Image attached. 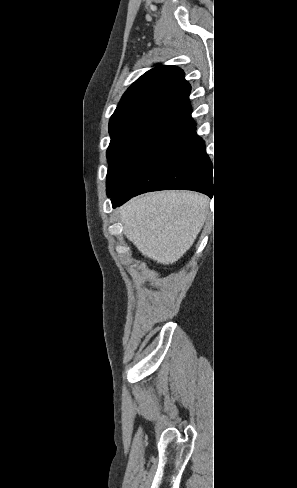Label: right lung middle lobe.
<instances>
[{
  "label": "right lung middle lobe",
  "instance_id": "1",
  "mask_svg": "<svg viewBox=\"0 0 297 488\" xmlns=\"http://www.w3.org/2000/svg\"><path fill=\"white\" fill-rule=\"evenodd\" d=\"M173 134L175 132L143 130L112 137L107 150V196L112 199L125 194Z\"/></svg>",
  "mask_w": 297,
  "mask_h": 488
}]
</instances>
